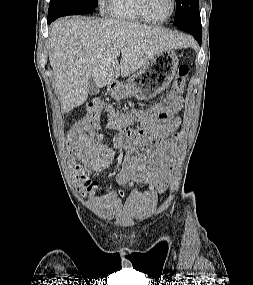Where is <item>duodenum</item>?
Segmentation results:
<instances>
[{"label":"duodenum","instance_id":"410a0bca","mask_svg":"<svg viewBox=\"0 0 253 285\" xmlns=\"http://www.w3.org/2000/svg\"><path fill=\"white\" fill-rule=\"evenodd\" d=\"M109 88H110L111 90H114V89H115V85H114V84H111Z\"/></svg>","mask_w":253,"mask_h":285}]
</instances>
